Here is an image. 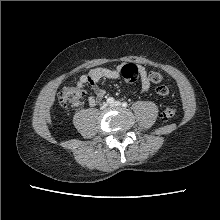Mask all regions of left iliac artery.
I'll return each mask as SVG.
<instances>
[{"instance_id": "left-iliac-artery-1", "label": "left iliac artery", "mask_w": 220, "mask_h": 220, "mask_svg": "<svg viewBox=\"0 0 220 220\" xmlns=\"http://www.w3.org/2000/svg\"><path fill=\"white\" fill-rule=\"evenodd\" d=\"M122 106H123V107H127V106H128L127 102H123V103H122Z\"/></svg>"}]
</instances>
